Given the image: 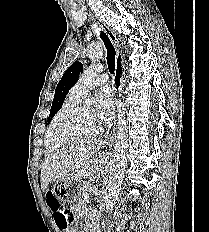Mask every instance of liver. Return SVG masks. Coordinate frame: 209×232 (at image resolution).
Returning a JSON list of instances; mask_svg holds the SVG:
<instances>
[{"label": "liver", "instance_id": "6515ba94", "mask_svg": "<svg viewBox=\"0 0 209 232\" xmlns=\"http://www.w3.org/2000/svg\"><path fill=\"white\" fill-rule=\"evenodd\" d=\"M101 144L96 140L88 141L49 155L41 167L42 190L57 178L77 181L85 177L91 181L98 179L103 163Z\"/></svg>", "mask_w": 209, "mask_h": 232}]
</instances>
